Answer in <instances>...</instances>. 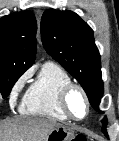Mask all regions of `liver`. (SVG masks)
Returning <instances> with one entry per match:
<instances>
[{
  "mask_svg": "<svg viewBox=\"0 0 119 141\" xmlns=\"http://www.w3.org/2000/svg\"><path fill=\"white\" fill-rule=\"evenodd\" d=\"M60 123L45 118H17L0 123V141H44Z\"/></svg>",
  "mask_w": 119,
  "mask_h": 141,
  "instance_id": "obj_1",
  "label": "liver"
}]
</instances>
